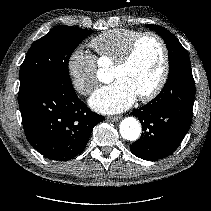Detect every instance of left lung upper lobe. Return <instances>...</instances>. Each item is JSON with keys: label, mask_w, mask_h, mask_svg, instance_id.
<instances>
[{"label": "left lung upper lobe", "mask_w": 211, "mask_h": 211, "mask_svg": "<svg viewBox=\"0 0 211 211\" xmlns=\"http://www.w3.org/2000/svg\"><path fill=\"white\" fill-rule=\"evenodd\" d=\"M148 27L162 36L167 45L169 73L183 65H191L187 51L171 32L158 25H148Z\"/></svg>", "instance_id": "left-lung-upper-lobe-1"}]
</instances>
